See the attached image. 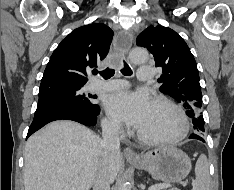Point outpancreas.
<instances>
[{
  "mask_svg": "<svg viewBox=\"0 0 234 190\" xmlns=\"http://www.w3.org/2000/svg\"><path fill=\"white\" fill-rule=\"evenodd\" d=\"M170 190H180V189H178V188H172V189H170Z\"/></svg>",
  "mask_w": 234,
  "mask_h": 190,
  "instance_id": "cf45deb5",
  "label": "pancreas"
}]
</instances>
